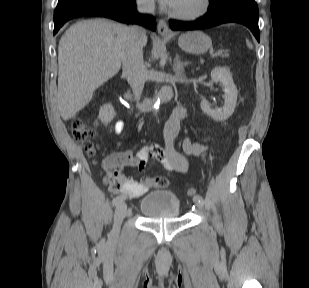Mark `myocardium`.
I'll return each instance as SVG.
<instances>
[{"mask_svg":"<svg viewBox=\"0 0 309 288\" xmlns=\"http://www.w3.org/2000/svg\"><path fill=\"white\" fill-rule=\"evenodd\" d=\"M210 7H211V0H202L201 8L195 12L187 13V12H177L170 10L169 14L181 20H196L205 16L209 12Z\"/></svg>","mask_w":309,"mask_h":288,"instance_id":"f54148a6","label":"myocardium"}]
</instances>
